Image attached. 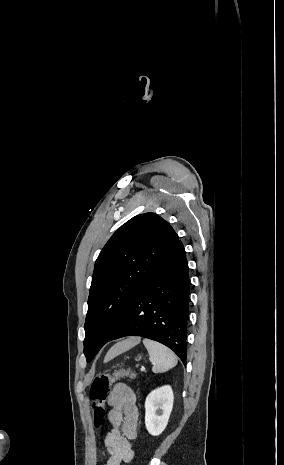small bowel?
Instances as JSON below:
<instances>
[{"label": "small bowel", "mask_w": 284, "mask_h": 465, "mask_svg": "<svg viewBox=\"0 0 284 465\" xmlns=\"http://www.w3.org/2000/svg\"><path fill=\"white\" fill-rule=\"evenodd\" d=\"M110 430L104 438L108 452L106 465H121L130 462L135 455L131 440L137 438L139 411L133 390L124 383H117L109 399Z\"/></svg>", "instance_id": "small-bowel-1"}]
</instances>
